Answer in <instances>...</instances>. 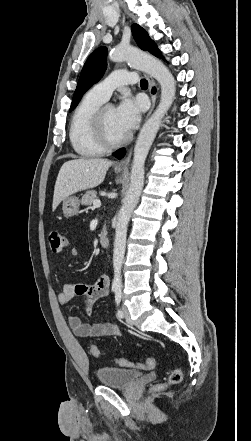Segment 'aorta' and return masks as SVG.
I'll use <instances>...</instances> for the list:
<instances>
[{
    "instance_id": "1",
    "label": "aorta",
    "mask_w": 251,
    "mask_h": 441,
    "mask_svg": "<svg viewBox=\"0 0 251 441\" xmlns=\"http://www.w3.org/2000/svg\"><path fill=\"white\" fill-rule=\"evenodd\" d=\"M109 58L115 62L126 61L131 67L148 73L159 82L161 87L159 105L143 125L135 144L130 186L117 217L113 252L114 279L112 288L121 289V269L125 255L128 223L143 189L144 165L149 149L156 137L163 117L175 99L176 82L170 71L160 60L135 48L117 47L110 52Z\"/></svg>"
}]
</instances>
